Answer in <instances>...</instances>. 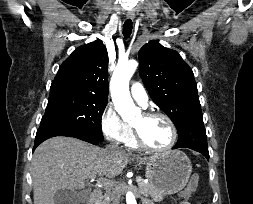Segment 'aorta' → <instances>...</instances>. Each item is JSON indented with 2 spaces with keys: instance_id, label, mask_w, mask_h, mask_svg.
Here are the masks:
<instances>
[{
  "instance_id": "obj_1",
  "label": "aorta",
  "mask_w": 253,
  "mask_h": 204,
  "mask_svg": "<svg viewBox=\"0 0 253 204\" xmlns=\"http://www.w3.org/2000/svg\"><path fill=\"white\" fill-rule=\"evenodd\" d=\"M137 67L138 63L135 60L118 63L110 81L115 109L126 122L133 120L141 113L140 109L134 105L129 92V81ZM126 202L127 204H137L132 192H127Z\"/></svg>"
}]
</instances>
